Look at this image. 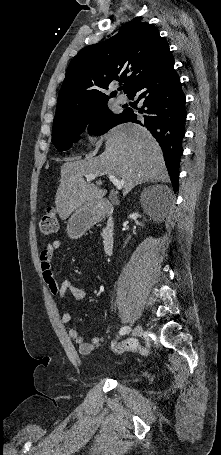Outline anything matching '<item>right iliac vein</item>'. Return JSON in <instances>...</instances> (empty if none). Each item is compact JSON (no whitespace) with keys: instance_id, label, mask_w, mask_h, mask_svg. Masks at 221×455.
Wrapping results in <instances>:
<instances>
[{"instance_id":"1","label":"right iliac vein","mask_w":221,"mask_h":455,"mask_svg":"<svg viewBox=\"0 0 221 455\" xmlns=\"http://www.w3.org/2000/svg\"><path fill=\"white\" fill-rule=\"evenodd\" d=\"M142 333H143L142 327H141L140 325H137V326L134 328V330H133V332H132V335L135 336V337H137V336H141Z\"/></svg>"}]
</instances>
